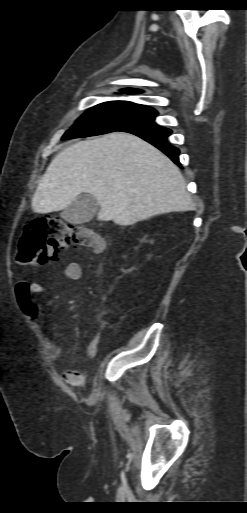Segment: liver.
<instances>
[{
    "label": "liver",
    "instance_id": "liver-1",
    "mask_svg": "<svg viewBox=\"0 0 247 513\" xmlns=\"http://www.w3.org/2000/svg\"><path fill=\"white\" fill-rule=\"evenodd\" d=\"M81 193L96 199L98 220L122 226L193 209L178 167L153 145L124 132L79 141L57 154L38 183L32 209L61 211Z\"/></svg>",
    "mask_w": 247,
    "mask_h": 513
}]
</instances>
